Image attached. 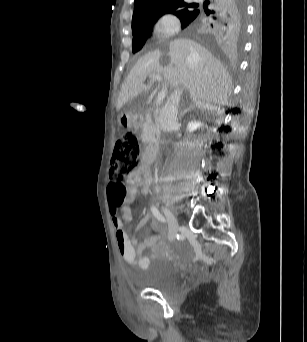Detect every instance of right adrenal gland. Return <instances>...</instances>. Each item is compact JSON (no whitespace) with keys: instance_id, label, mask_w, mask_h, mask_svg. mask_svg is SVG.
Listing matches in <instances>:
<instances>
[{"instance_id":"1","label":"right adrenal gland","mask_w":307,"mask_h":342,"mask_svg":"<svg viewBox=\"0 0 307 342\" xmlns=\"http://www.w3.org/2000/svg\"><path fill=\"white\" fill-rule=\"evenodd\" d=\"M190 108H187V110H184L183 114H186V112H189Z\"/></svg>"}]
</instances>
